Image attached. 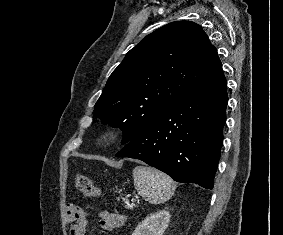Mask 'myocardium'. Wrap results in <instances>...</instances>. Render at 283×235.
Wrapping results in <instances>:
<instances>
[{
    "label": "myocardium",
    "mask_w": 283,
    "mask_h": 235,
    "mask_svg": "<svg viewBox=\"0 0 283 235\" xmlns=\"http://www.w3.org/2000/svg\"><path fill=\"white\" fill-rule=\"evenodd\" d=\"M118 136V130L115 127H108L101 133L100 140L103 143H111L113 142Z\"/></svg>",
    "instance_id": "obj_1"
}]
</instances>
